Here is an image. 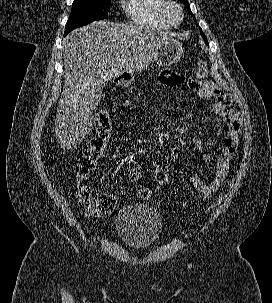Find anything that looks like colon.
<instances>
[{"label":"colon","instance_id":"colon-1","mask_svg":"<svg viewBox=\"0 0 272 303\" xmlns=\"http://www.w3.org/2000/svg\"><path fill=\"white\" fill-rule=\"evenodd\" d=\"M207 66L204 61L199 63L196 71L198 78L207 76ZM111 134V124L106 114L100 113L97 116V128L95 136L92 138L89 146L80 157L76 168V195L78 200L84 204L88 213L93 217H106L112 214L118 204V200L113 195L102 194L94 195L90 184V175L94 171L97 162L103 156ZM154 180L156 189H161L168 181L166 169L159 163H154ZM153 194L150 187H141L138 190V196L147 199ZM225 198V194L216 197L212 202L205 206L202 213L211 210L220 204Z\"/></svg>","mask_w":272,"mask_h":303}]
</instances>
